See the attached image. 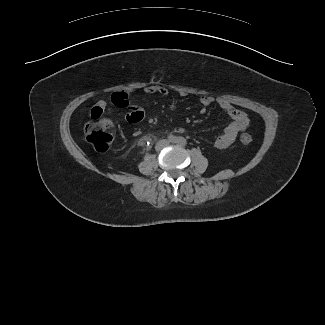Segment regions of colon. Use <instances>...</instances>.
Here are the masks:
<instances>
[{
	"mask_svg": "<svg viewBox=\"0 0 325 325\" xmlns=\"http://www.w3.org/2000/svg\"><path fill=\"white\" fill-rule=\"evenodd\" d=\"M113 123L108 119H93L84 128L85 139L99 152H105L109 149L112 142ZM250 134H243L240 141L243 144L252 142Z\"/></svg>",
	"mask_w": 325,
	"mask_h": 325,
	"instance_id": "5ec220e1",
	"label": "colon"
}]
</instances>
